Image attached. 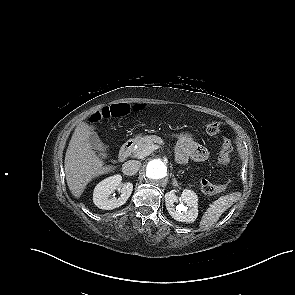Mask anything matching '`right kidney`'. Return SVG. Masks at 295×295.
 <instances>
[{"mask_svg": "<svg viewBox=\"0 0 295 295\" xmlns=\"http://www.w3.org/2000/svg\"><path fill=\"white\" fill-rule=\"evenodd\" d=\"M121 181L120 175H114L97 184L93 193L94 204L103 210H112L125 204L132 193L133 184L130 182L122 183ZM116 189L121 195L118 198L115 195L110 198V195Z\"/></svg>", "mask_w": 295, "mask_h": 295, "instance_id": "1", "label": "right kidney"}]
</instances>
